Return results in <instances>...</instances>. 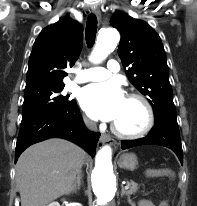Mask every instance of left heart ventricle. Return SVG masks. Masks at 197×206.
<instances>
[{"instance_id":"left-heart-ventricle-1","label":"left heart ventricle","mask_w":197,"mask_h":206,"mask_svg":"<svg viewBox=\"0 0 197 206\" xmlns=\"http://www.w3.org/2000/svg\"><path fill=\"white\" fill-rule=\"evenodd\" d=\"M145 118V111L140 102L125 99L122 112L114 123L124 131L134 132L144 126Z\"/></svg>"}]
</instances>
